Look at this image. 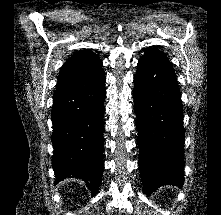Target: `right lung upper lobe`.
<instances>
[{"label": "right lung upper lobe", "instance_id": "1", "mask_svg": "<svg viewBox=\"0 0 221 215\" xmlns=\"http://www.w3.org/2000/svg\"><path fill=\"white\" fill-rule=\"evenodd\" d=\"M100 69H102V62L93 52L88 50L79 51L62 66L57 88L92 76Z\"/></svg>", "mask_w": 221, "mask_h": 215}]
</instances>
